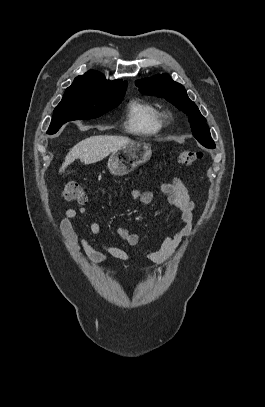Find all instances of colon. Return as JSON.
Returning <instances> with one entry per match:
<instances>
[{"label":"colon","mask_w":265,"mask_h":407,"mask_svg":"<svg viewBox=\"0 0 265 407\" xmlns=\"http://www.w3.org/2000/svg\"><path fill=\"white\" fill-rule=\"evenodd\" d=\"M202 158L197 150L185 149L177 152V161L182 165H192ZM62 198L68 202L83 204L87 202L84 188L76 182H67L62 190Z\"/></svg>","instance_id":"colon-1"}]
</instances>
